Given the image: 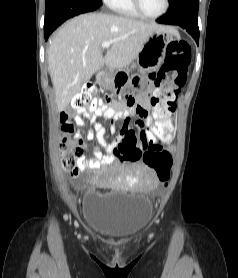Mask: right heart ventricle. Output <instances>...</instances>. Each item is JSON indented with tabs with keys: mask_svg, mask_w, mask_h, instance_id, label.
I'll list each match as a JSON object with an SVG mask.
<instances>
[{
	"mask_svg": "<svg viewBox=\"0 0 238 278\" xmlns=\"http://www.w3.org/2000/svg\"><path fill=\"white\" fill-rule=\"evenodd\" d=\"M110 8L123 16L138 18L140 15L135 10L132 0H115Z\"/></svg>",
	"mask_w": 238,
	"mask_h": 278,
	"instance_id": "obj_1",
	"label": "right heart ventricle"
}]
</instances>
